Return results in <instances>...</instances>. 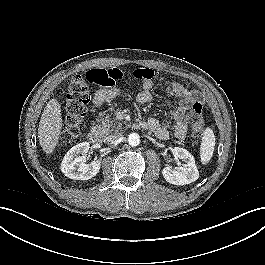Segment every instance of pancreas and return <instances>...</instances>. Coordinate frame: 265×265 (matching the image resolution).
<instances>
[{
  "label": "pancreas",
  "mask_w": 265,
  "mask_h": 265,
  "mask_svg": "<svg viewBox=\"0 0 265 265\" xmlns=\"http://www.w3.org/2000/svg\"><path fill=\"white\" fill-rule=\"evenodd\" d=\"M121 128V123L118 122L116 119L110 120L108 117L103 119L98 126V129L104 136L109 135L111 132L115 131L118 132Z\"/></svg>",
  "instance_id": "1"
}]
</instances>
